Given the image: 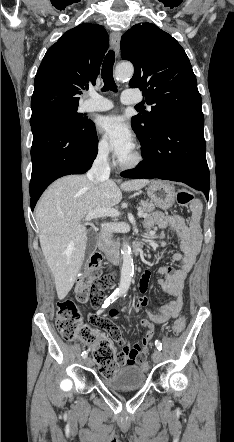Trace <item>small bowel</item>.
Returning <instances> with one entry per match:
<instances>
[{"label":"small bowel","mask_w":234,"mask_h":442,"mask_svg":"<svg viewBox=\"0 0 234 442\" xmlns=\"http://www.w3.org/2000/svg\"><path fill=\"white\" fill-rule=\"evenodd\" d=\"M201 204L195 201L191 205L192 217L188 224H186L183 217L172 214L163 215L155 212L149 215L144 225L147 228L156 226L160 229L171 227L180 240V251L172 255V261L176 264L174 268L169 266H160L158 273L163 276L158 280L161 289L173 299L166 304H163L158 310L146 311L149 319L156 323H164L176 318L183 305V288L188 272L191 270L196 257L200 251L201 246V231L199 226V219L201 215ZM150 280L149 270H145L138 284V290L142 295L137 303L134 304L133 310L139 311L144 308L148 300L144 296L147 291ZM118 315L117 310H111L108 314H90L88 317L91 328H101L102 331H107L108 336L113 337V342L122 345L123 365L127 369H137L142 365L145 359L148 344L154 334L153 325L148 320H142V325L147 327V332L143 337L141 344L131 345L123 341L120 328L117 326L113 318Z\"/></svg>","instance_id":"c3829d8e"}]
</instances>
